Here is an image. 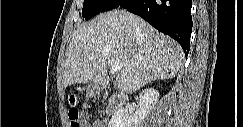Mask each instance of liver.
Instances as JSON below:
<instances>
[{"label":"liver","instance_id":"obj_1","mask_svg":"<svg viewBox=\"0 0 243 127\" xmlns=\"http://www.w3.org/2000/svg\"><path fill=\"white\" fill-rule=\"evenodd\" d=\"M65 56L64 87L102 81L110 59L122 66L115 87L126 93L153 80L174 78L184 58L175 40L125 10L100 14L79 26Z\"/></svg>","mask_w":243,"mask_h":127}]
</instances>
